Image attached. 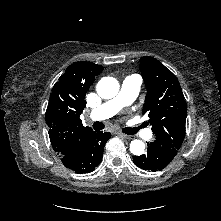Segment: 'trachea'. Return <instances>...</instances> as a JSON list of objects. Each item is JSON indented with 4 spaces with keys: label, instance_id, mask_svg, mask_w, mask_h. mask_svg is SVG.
I'll list each match as a JSON object with an SVG mask.
<instances>
[{
    "label": "trachea",
    "instance_id": "1",
    "mask_svg": "<svg viewBox=\"0 0 221 221\" xmlns=\"http://www.w3.org/2000/svg\"><path fill=\"white\" fill-rule=\"evenodd\" d=\"M93 128L94 130L96 131H99V130H102L104 128V124L102 122H95L93 124ZM139 127H135V128H124L123 129V132L125 134H128V135H132V134H136L137 131H138Z\"/></svg>",
    "mask_w": 221,
    "mask_h": 221
}]
</instances>
